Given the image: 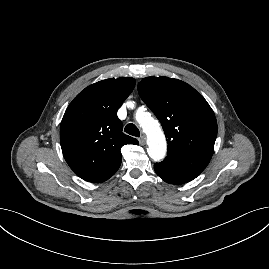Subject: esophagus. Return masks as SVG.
Returning a JSON list of instances; mask_svg holds the SVG:
<instances>
[{
    "label": "esophagus",
    "instance_id": "34e87169",
    "mask_svg": "<svg viewBox=\"0 0 269 269\" xmlns=\"http://www.w3.org/2000/svg\"><path fill=\"white\" fill-rule=\"evenodd\" d=\"M139 143H140V145H145V143H146V138H145L144 135L141 136V137L139 138Z\"/></svg>",
    "mask_w": 269,
    "mask_h": 269
}]
</instances>
